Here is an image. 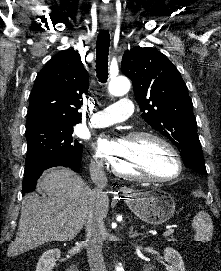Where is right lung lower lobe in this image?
<instances>
[{
	"label": "right lung lower lobe",
	"mask_w": 221,
	"mask_h": 271,
	"mask_svg": "<svg viewBox=\"0 0 221 271\" xmlns=\"http://www.w3.org/2000/svg\"><path fill=\"white\" fill-rule=\"evenodd\" d=\"M81 159L82 155L72 160L47 161L26 165L22 185V193L25 194L35 190L36 182L45 169L54 166H65L71 168L74 171H78L80 169Z\"/></svg>",
	"instance_id": "right-lung-lower-lobe-1"
}]
</instances>
